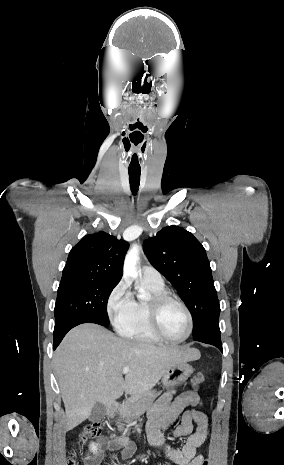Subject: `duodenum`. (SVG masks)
<instances>
[{
  "instance_id": "duodenum-1",
  "label": "duodenum",
  "mask_w": 284,
  "mask_h": 465,
  "mask_svg": "<svg viewBox=\"0 0 284 465\" xmlns=\"http://www.w3.org/2000/svg\"><path fill=\"white\" fill-rule=\"evenodd\" d=\"M119 410V405L116 402L110 404V406L106 409V416L107 417H114L116 412ZM112 436V435H111Z\"/></svg>"
}]
</instances>
